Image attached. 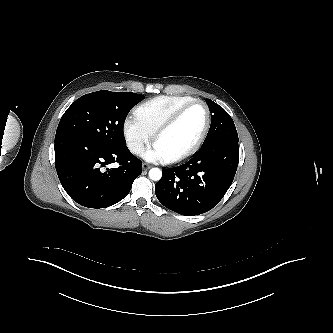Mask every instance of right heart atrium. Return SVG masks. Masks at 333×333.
I'll use <instances>...</instances> for the list:
<instances>
[{
  "label": "right heart atrium",
  "mask_w": 333,
  "mask_h": 333,
  "mask_svg": "<svg viewBox=\"0 0 333 333\" xmlns=\"http://www.w3.org/2000/svg\"><path fill=\"white\" fill-rule=\"evenodd\" d=\"M123 133L128 149L135 155L141 154L152 138V133L136 117L125 119Z\"/></svg>",
  "instance_id": "d8ad5b80"
}]
</instances>
